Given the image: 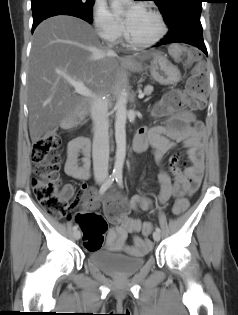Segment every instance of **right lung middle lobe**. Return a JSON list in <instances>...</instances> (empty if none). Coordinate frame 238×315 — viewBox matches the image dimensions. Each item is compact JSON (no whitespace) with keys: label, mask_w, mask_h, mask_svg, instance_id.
Instances as JSON below:
<instances>
[{"label":"right lung middle lobe","mask_w":238,"mask_h":315,"mask_svg":"<svg viewBox=\"0 0 238 315\" xmlns=\"http://www.w3.org/2000/svg\"><path fill=\"white\" fill-rule=\"evenodd\" d=\"M95 0H32L31 8L46 4H59L77 8L85 13L92 14Z\"/></svg>","instance_id":"obj_1"}]
</instances>
